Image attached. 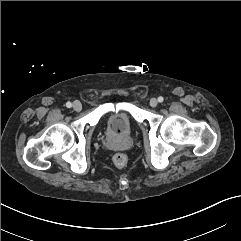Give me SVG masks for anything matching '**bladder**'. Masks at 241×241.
Instances as JSON below:
<instances>
[{
	"mask_svg": "<svg viewBox=\"0 0 241 241\" xmlns=\"http://www.w3.org/2000/svg\"><path fill=\"white\" fill-rule=\"evenodd\" d=\"M105 128L110 136L126 137L133 132L134 123L126 111L113 112L107 116Z\"/></svg>",
	"mask_w": 241,
	"mask_h": 241,
	"instance_id": "1",
	"label": "bladder"
}]
</instances>
